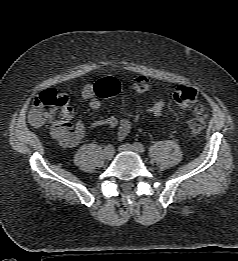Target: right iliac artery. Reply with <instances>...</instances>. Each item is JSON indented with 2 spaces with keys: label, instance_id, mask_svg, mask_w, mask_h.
I'll use <instances>...</instances> for the list:
<instances>
[{
  "label": "right iliac artery",
  "instance_id": "obj_1",
  "mask_svg": "<svg viewBox=\"0 0 238 261\" xmlns=\"http://www.w3.org/2000/svg\"><path fill=\"white\" fill-rule=\"evenodd\" d=\"M114 145H112V144H107V146L105 147V149H106V151L107 152H112V150H114Z\"/></svg>",
  "mask_w": 238,
  "mask_h": 261
}]
</instances>
